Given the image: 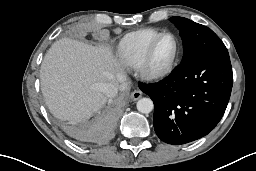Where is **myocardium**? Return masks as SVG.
Segmentation results:
<instances>
[{
  "label": "myocardium",
  "instance_id": "myocardium-1",
  "mask_svg": "<svg viewBox=\"0 0 256 171\" xmlns=\"http://www.w3.org/2000/svg\"><path fill=\"white\" fill-rule=\"evenodd\" d=\"M171 37L175 43V50L171 60L163 67H155L153 64V54L159 42L165 38ZM180 54V44L178 38L171 32H164L157 36L148 46L146 53L139 65L141 75L150 81H157L167 77L175 68Z\"/></svg>",
  "mask_w": 256,
  "mask_h": 171
}]
</instances>
